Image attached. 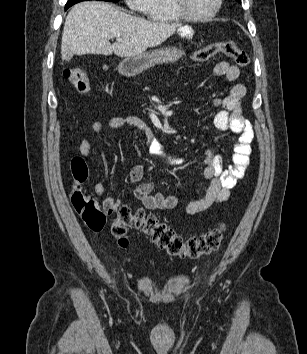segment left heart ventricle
Listing matches in <instances>:
<instances>
[{"label": "left heart ventricle", "instance_id": "b2bd125f", "mask_svg": "<svg viewBox=\"0 0 307 354\" xmlns=\"http://www.w3.org/2000/svg\"><path fill=\"white\" fill-rule=\"evenodd\" d=\"M185 4L190 14L200 16L210 13L216 5V0H185Z\"/></svg>", "mask_w": 307, "mask_h": 354}]
</instances>
